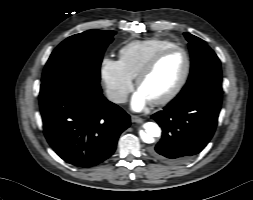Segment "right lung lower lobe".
<instances>
[{
	"instance_id": "1",
	"label": "right lung lower lobe",
	"mask_w": 253,
	"mask_h": 200,
	"mask_svg": "<svg viewBox=\"0 0 253 200\" xmlns=\"http://www.w3.org/2000/svg\"><path fill=\"white\" fill-rule=\"evenodd\" d=\"M45 137L66 162L95 166L109 158L130 116L108 101L99 83L79 77L45 82L40 87Z\"/></svg>"
}]
</instances>
